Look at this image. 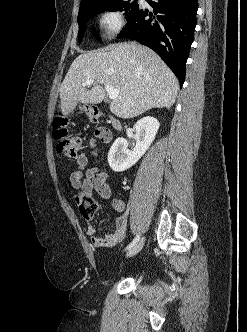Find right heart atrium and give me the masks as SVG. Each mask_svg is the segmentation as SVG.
Returning <instances> with one entry per match:
<instances>
[{"instance_id":"obj_1","label":"right heart atrium","mask_w":247,"mask_h":332,"mask_svg":"<svg viewBox=\"0 0 247 332\" xmlns=\"http://www.w3.org/2000/svg\"><path fill=\"white\" fill-rule=\"evenodd\" d=\"M125 25L123 14L114 8L103 11L99 16V26L105 38L118 35Z\"/></svg>"}]
</instances>
